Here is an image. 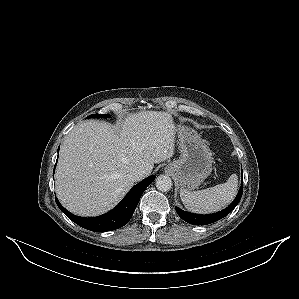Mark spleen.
Instances as JSON below:
<instances>
[{
	"instance_id": "3e777b00",
	"label": "spleen",
	"mask_w": 299,
	"mask_h": 299,
	"mask_svg": "<svg viewBox=\"0 0 299 299\" xmlns=\"http://www.w3.org/2000/svg\"><path fill=\"white\" fill-rule=\"evenodd\" d=\"M238 176L232 174L223 183L207 189L190 192L180 190V198L186 209L194 213L206 214L219 211L226 207L236 195Z\"/></svg>"
}]
</instances>
